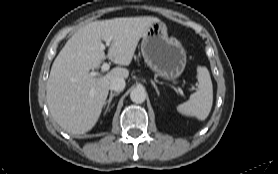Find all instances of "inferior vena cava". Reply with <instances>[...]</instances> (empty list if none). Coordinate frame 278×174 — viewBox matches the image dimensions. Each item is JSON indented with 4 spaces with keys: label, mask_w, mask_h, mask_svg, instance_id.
Wrapping results in <instances>:
<instances>
[{
    "label": "inferior vena cava",
    "mask_w": 278,
    "mask_h": 174,
    "mask_svg": "<svg viewBox=\"0 0 278 174\" xmlns=\"http://www.w3.org/2000/svg\"><path fill=\"white\" fill-rule=\"evenodd\" d=\"M125 88V80L122 77L114 78L110 83V89L120 92Z\"/></svg>",
    "instance_id": "obj_1"
}]
</instances>
